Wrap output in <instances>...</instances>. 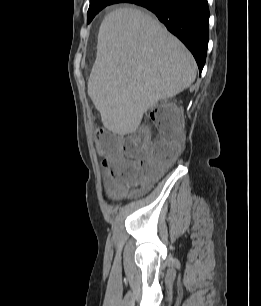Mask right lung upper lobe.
I'll return each mask as SVG.
<instances>
[{"label": "right lung upper lobe", "mask_w": 261, "mask_h": 306, "mask_svg": "<svg viewBox=\"0 0 261 306\" xmlns=\"http://www.w3.org/2000/svg\"><path fill=\"white\" fill-rule=\"evenodd\" d=\"M101 1H109V0H90V3H91V2H101ZM116 1L127 2L128 0H116ZM123 2H122V3H123Z\"/></svg>", "instance_id": "cb5924a9"}]
</instances>
